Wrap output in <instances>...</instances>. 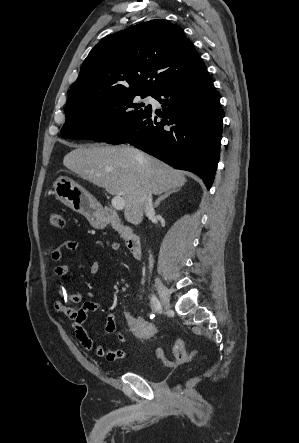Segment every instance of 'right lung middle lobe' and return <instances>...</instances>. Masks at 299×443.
I'll use <instances>...</instances> for the list:
<instances>
[{
  "mask_svg": "<svg viewBox=\"0 0 299 443\" xmlns=\"http://www.w3.org/2000/svg\"><path fill=\"white\" fill-rule=\"evenodd\" d=\"M149 95L153 97L145 92H122L68 104L61 137L105 142L151 109V105L136 103L137 96Z\"/></svg>",
  "mask_w": 299,
  "mask_h": 443,
  "instance_id": "right-lung-middle-lobe-1",
  "label": "right lung middle lobe"
}]
</instances>
